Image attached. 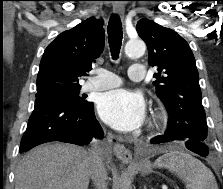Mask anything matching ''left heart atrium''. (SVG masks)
Wrapping results in <instances>:
<instances>
[{
    "label": "left heart atrium",
    "instance_id": "1",
    "mask_svg": "<svg viewBox=\"0 0 223 189\" xmlns=\"http://www.w3.org/2000/svg\"><path fill=\"white\" fill-rule=\"evenodd\" d=\"M97 109L105 123L123 132L140 127L146 114L143 96L126 89H116L102 94Z\"/></svg>",
    "mask_w": 223,
    "mask_h": 189
}]
</instances>
